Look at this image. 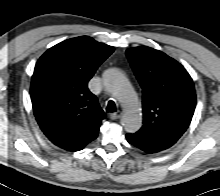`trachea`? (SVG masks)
<instances>
[{
    "mask_svg": "<svg viewBox=\"0 0 220 196\" xmlns=\"http://www.w3.org/2000/svg\"><path fill=\"white\" fill-rule=\"evenodd\" d=\"M106 111H107V112H115V111H116L115 103H114L112 100H110V101L108 102Z\"/></svg>",
    "mask_w": 220,
    "mask_h": 196,
    "instance_id": "trachea-1",
    "label": "trachea"
}]
</instances>
